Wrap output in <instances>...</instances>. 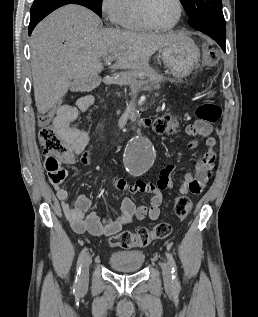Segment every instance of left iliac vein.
Returning a JSON list of instances; mask_svg holds the SVG:
<instances>
[{"mask_svg": "<svg viewBox=\"0 0 258 317\" xmlns=\"http://www.w3.org/2000/svg\"><path fill=\"white\" fill-rule=\"evenodd\" d=\"M163 269H164V271H163V273H162L163 276H164L165 278H167V279L170 278V276H171L172 273H171V271H169V269H170V268H169V265H168V264H165Z\"/></svg>", "mask_w": 258, "mask_h": 317, "instance_id": "obj_1", "label": "left iliac vein"}]
</instances>
